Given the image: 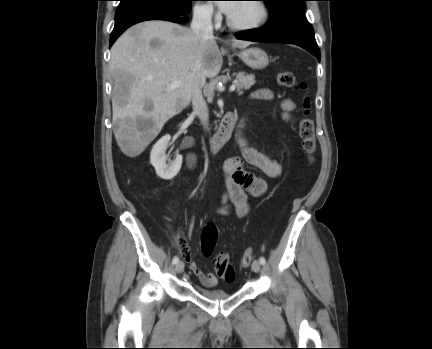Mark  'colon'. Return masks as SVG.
I'll return each mask as SVG.
<instances>
[{"mask_svg":"<svg viewBox=\"0 0 432 349\" xmlns=\"http://www.w3.org/2000/svg\"><path fill=\"white\" fill-rule=\"evenodd\" d=\"M280 86L292 88L296 85V79L292 72L282 71L277 75ZM301 87L305 88L304 84ZM299 136L303 149L307 156L312 159L316 151V137L314 121L311 118V100L305 97L303 101V115L299 123ZM218 232L215 226L208 225L204 228L201 236V250L205 256H210L214 250ZM254 258L252 250H246L241 258L240 266L248 267ZM213 266L217 275L225 281L231 282L235 279V270L227 254H219L213 259Z\"/></svg>","mask_w":432,"mask_h":349,"instance_id":"1","label":"colon"}]
</instances>
